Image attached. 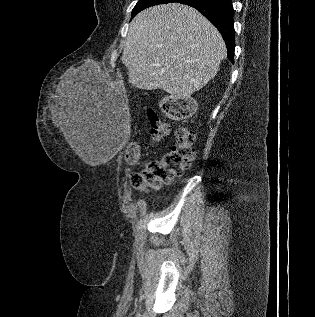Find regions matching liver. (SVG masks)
<instances>
[{"instance_id":"obj_1","label":"liver","mask_w":315,"mask_h":317,"mask_svg":"<svg viewBox=\"0 0 315 317\" xmlns=\"http://www.w3.org/2000/svg\"><path fill=\"white\" fill-rule=\"evenodd\" d=\"M227 51L218 30L197 10L178 3L154 6L131 21L122 63L129 83L139 89L161 88L187 99L218 72ZM54 123L83 158V121L73 92L57 89Z\"/></svg>"}]
</instances>
